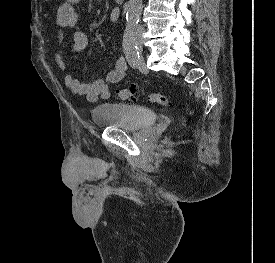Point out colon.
<instances>
[{"label":"colon","mask_w":275,"mask_h":263,"mask_svg":"<svg viewBox=\"0 0 275 263\" xmlns=\"http://www.w3.org/2000/svg\"><path fill=\"white\" fill-rule=\"evenodd\" d=\"M116 97L123 101H133L137 97L136 90L134 88L118 89ZM146 97L150 102L161 106H168L171 103V100L167 96L159 93H147Z\"/></svg>","instance_id":"obj_1"}]
</instances>
